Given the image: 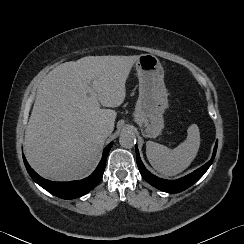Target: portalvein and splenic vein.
Returning a JSON list of instances; mask_svg holds the SVG:
<instances>
[{
	"label": "portal vein and splenic vein",
	"mask_w": 244,
	"mask_h": 244,
	"mask_svg": "<svg viewBox=\"0 0 244 244\" xmlns=\"http://www.w3.org/2000/svg\"><path fill=\"white\" fill-rule=\"evenodd\" d=\"M87 92H88L91 96H94V95H95V92H94L90 87L87 88Z\"/></svg>",
	"instance_id": "portal-vein-and-splenic-vein-1"
}]
</instances>
